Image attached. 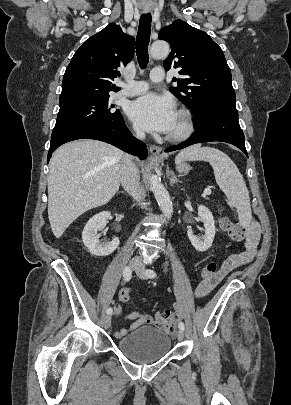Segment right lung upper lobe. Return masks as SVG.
<instances>
[{
	"instance_id": "cb5924a9",
	"label": "right lung upper lobe",
	"mask_w": 291,
	"mask_h": 405,
	"mask_svg": "<svg viewBox=\"0 0 291 405\" xmlns=\"http://www.w3.org/2000/svg\"><path fill=\"white\" fill-rule=\"evenodd\" d=\"M134 55V38L111 23L90 37L75 52L66 68L60 101L109 96L119 90L113 84L118 68Z\"/></svg>"
}]
</instances>
